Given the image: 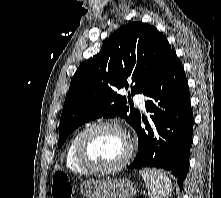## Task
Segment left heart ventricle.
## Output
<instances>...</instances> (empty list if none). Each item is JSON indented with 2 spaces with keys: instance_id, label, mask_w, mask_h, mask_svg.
<instances>
[{
  "instance_id": "left-heart-ventricle-1",
  "label": "left heart ventricle",
  "mask_w": 221,
  "mask_h": 198,
  "mask_svg": "<svg viewBox=\"0 0 221 198\" xmlns=\"http://www.w3.org/2000/svg\"><path fill=\"white\" fill-rule=\"evenodd\" d=\"M125 138L116 130L100 129L93 132L86 142L88 159L98 166H111L125 155Z\"/></svg>"
}]
</instances>
